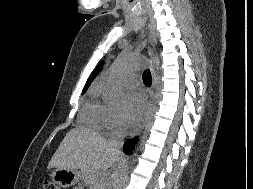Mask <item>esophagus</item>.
I'll return each instance as SVG.
<instances>
[{"label":"esophagus","mask_w":253,"mask_h":189,"mask_svg":"<svg viewBox=\"0 0 253 189\" xmlns=\"http://www.w3.org/2000/svg\"><path fill=\"white\" fill-rule=\"evenodd\" d=\"M149 30H150V37H151V42H150L151 47L149 51V56H150V70L152 73V90L150 93V102H149L148 110L145 114V117L143 118L142 122L130 133L129 138L135 137L143 130V128L145 127V125L147 124V122L149 121L150 117L153 114L155 103H156V88H157L156 75H157L160 59H159V55L157 51L156 34L151 24H149Z\"/></svg>","instance_id":"34e87169"}]
</instances>
